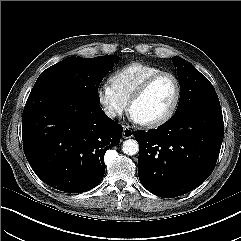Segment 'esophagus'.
Instances as JSON below:
<instances>
[{
	"instance_id": "1",
	"label": "esophagus",
	"mask_w": 241,
	"mask_h": 241,
	"mask_svg": "<svg viewBox=\"0 0 241 241\" xmlns=\"http://www.w3.org/2000/svg\"><path fill=\"white\" fill-rule=\"evenodd\" d=\"M132 136H133V131L129 127L124 126L123 138L128 139V138H131Z\"/></svg>"
}]
</instances>
